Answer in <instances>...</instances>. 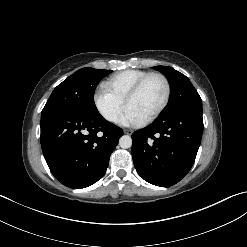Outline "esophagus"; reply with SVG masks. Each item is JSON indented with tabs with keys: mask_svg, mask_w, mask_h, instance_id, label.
Here are the masks:
<instances>
[{
	"mask_svg": "<svg viewBox=\"0 0 247 247\" xmlns=\"http://www.w3.org/2000/svg\"><path fill=\"white\" fill-rule=\"evenodd\" d=\"M124 134L131 135L133 131L131 129H124L123 130Z\"/></svg>",
	"mask_w": 247,
	"mask_h": 247,
	"instance_id": "obj_1",
	"label": "esophagus"
}]
</instances>
